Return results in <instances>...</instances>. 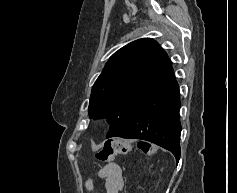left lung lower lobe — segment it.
<instances>
[{"label":"left lung lower lobe","mask_w":237,"mask_h":193,"mask_svg":"<svg viewBox=\"0 0 237 193\" xmlns=\"http://www.w3.org/2000/svg\"><path fill=\"white\" fill-rule=\"evenodd\" d=\"M179 86L170 66L145 92L127 126L117 137L142 139L180 159Z\"/></svg>","instance_id":"obj_1"}]
</instances>
